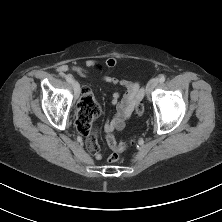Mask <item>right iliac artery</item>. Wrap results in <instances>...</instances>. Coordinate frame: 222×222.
<instances>
[{
    "label": "right iliac artery",
    "mask_w": 222,
    "mask_h": 222,
    "mask_svg": "<svg viewBox=\"0 0 222 222\" xmlns=\"http://www.w3.org/2000/svg\"><path fill=\"white\" fill-rule=\"evenodd\" d=\"M66 81L69 82V83H72L73 82V79L71 76L67 75L66 76Z\"/></svg>",
    "instance_id": "right-iliac-artery-1"
}]
</instances>
